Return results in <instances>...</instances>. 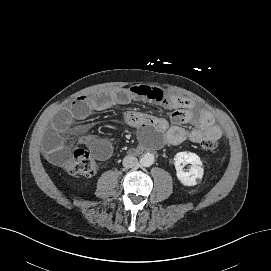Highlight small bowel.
<instances>
[{
	"instance_id": "c3829d8e",
	"label": "small bowel",
	"mask_w": 271,
	"mask_h": 271,
	"mask_svg": "<svg viewBox=\"0 0 271 271\" xmlns=\"http://www.w3.org/2000/svg\"><path fill=\"white\" fill-rule=\"evenodd\" d=\"M132 101L152 102L173 109L169 120L140 112L124 114L123 120L138 129L143 141L156 142L155 135L160 134L159 144L177 145L186 140L201 143L205 138L219 139L221 136V129L213 116L206 110H196L191 99L157 87L134 85L99 92L92 96L81 95L74 99L55 116L51 128L46 133L43 148L45 156L53 164L60 165L68 156L65 134L70 130L73 121L86 119L93 111ZM81 141L100 160H106L112 155L113 148L110 142L94 134L84 136Z\"/></svg>"
}]
</instances>
